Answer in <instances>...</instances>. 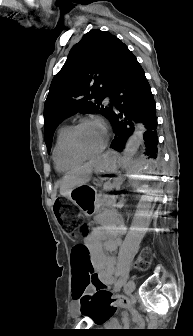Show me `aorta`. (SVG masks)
<instances>
[{
	"label": "aorta",
	"instance_id": "1",
	"mask_svg": "<svg viewBox=\"0 0 193 336\" xmlns=\"http://www.w3.org/2000/svg\"><path fill=\"white\" fill-rule=\"evenodd\" d=\"M144 131H145L144 125L141 123L137 124L134 133L128 139L123 151L126 160L131 158L137 152L143 140Z\"/></svg>",
	"mask_w": 193,
	"mask_h": 336
}]
</instances>
